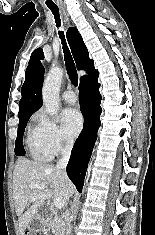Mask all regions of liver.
I'll return each mask as SVG.
<instances>
[{"instance_id": "obj_1", "label": "liver", "mask_w": 155, "mask_h": 235, "mask_svg": "<svg viewBox=\"0 0 155 235\" xmlns=\"http://www.w3.org/2000/svg\"><path fill=\"white\" fill-rule=\"evenodd\" d=\"M39 183L44 189L31 188ZM75 187L62 170L20 158L13 172V198L19 221V235H23L32 218L51 197L64 201L74 192Z\"/></svg>"}]
</instances>
